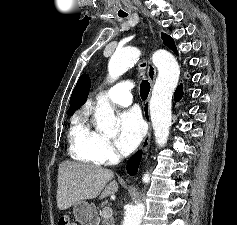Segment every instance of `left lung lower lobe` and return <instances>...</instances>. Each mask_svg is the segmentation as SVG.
Masks as SVG:
<instances>
[{
    "label": "left lung lower lobe",
    "mask_w": 237,
    "mask_h": 225,
    "mask_svg": "<svg viewBox=\"0 0 237 225\" xmlns=\"http://www.w3.org/2000/svg\"><path fill=\"white\" fill-rule=\"evenodd\" d=\"M183 94L182 87L178 86V90L175 92L176 100H179Z\"/></svg>",
    "instance_id": "left-lung-lower-lobe-1"
}]
</instances>
